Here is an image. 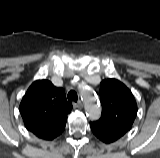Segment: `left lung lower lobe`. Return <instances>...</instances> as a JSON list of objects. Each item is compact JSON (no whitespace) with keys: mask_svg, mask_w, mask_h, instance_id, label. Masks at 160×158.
I'll list each match as a JSON object with an SVG mask.
<instances>
[{"mask_svg":"<svg viewBox=\"0 0 160 158\" xmlns=\"http://www.w3.org/2000/svg\"><path fill=\"white\" fill-rule=\"evenodd\" d=\"M91 130L93 134L104 143H112L120 139L122 136L110 132L103 127L91 122L90 123Z\"/></svg>","mask_w":160,"mask_h":158,"instance_id":"1","label":"left lung lower lobe"}]
</instances>
